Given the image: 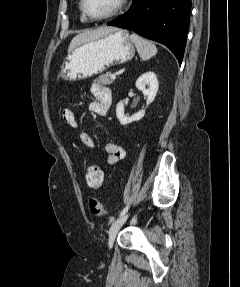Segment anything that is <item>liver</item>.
<instances>
[{"instance_id":"1","label":"liver","mask_w":240,"mask_h":287,"mask_svg":"<svg viewBox=\"0 0 240 287\" xmlns=\"http://www.w3.org/2000/svg\"><path fill=\"white\" fill-rule=\"evenodd\" d=\"M115 29H117V28L112 27V26H103V27H99L98 29H95V30H87V31H84L82 33H79L78 35H76L71 40L68 51L73 50L77 46H79V45H81L87 41L102 37V36L106 35L107 33L114 31Z\"/></svg>"}]
</instances>
